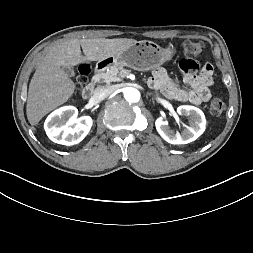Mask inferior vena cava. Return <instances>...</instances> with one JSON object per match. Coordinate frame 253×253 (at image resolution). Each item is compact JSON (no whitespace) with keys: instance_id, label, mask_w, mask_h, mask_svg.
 <instances>
[{"instance_id":"obj_1","label":"inferior vena cava","mask_w":253,"mask_h":253,"mask_svg":"<svg viewBox=\"0 0 253 253\" xmlns=\"http://www.w3.org/2000/svg\"><path fill=\"white\" fill-rule=\"evenodd\" d=\"M114 89L111 86H101L95 90L94 98L96 100H102L112 94Z\"/></svg>"}]
</instances>
